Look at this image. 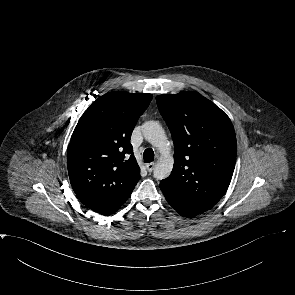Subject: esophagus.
Here are the masks:
<instances>
[{
    "instance_id": "34e87169",
    "label": "esophagus",
    "mask_w": 295,
    "mask_h": 295,
    "mask_svg": "<svg viewBox=\"0 0 295 295\" xmlns=\"http://www.w3.org/2000/svg\"><path fill=\"white\" fill-rule=\"evenodd\" d=\"M155 166H156V163L155 162H151V163L146 164V169L149 172H152L154 170Z\"/></svg>"
}]
</instances>
